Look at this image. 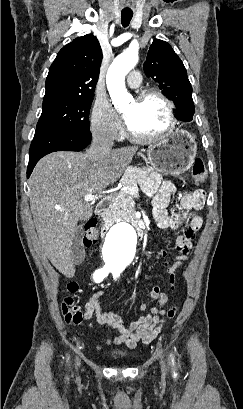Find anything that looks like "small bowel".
Listing matches in <instances>:
<instances>
[{
    "label": "small bowel",
    "instance_id": "1",
    "mask_svg": "<svg viewBox=\"0 0 243 409\" xmlns=\"http://www.w3.org/2000/svg\"><path fill=\"white\" fill-rule=\"evenodd\" d=\"M145 190L152 196L153 217L159 228L184 227L182 234L176 239V256L173 261L166 260L165 251L159 252L160 256L165 259L163 270L168 275L169 287L173 291L176 289V272L188 258L196 232L202 227V218L191 211L199 210L204 206L206 194L201 189L183 193L180 196V206L184 212L169 213L167 207L171 196L176 191L173 183L162 181L159 176L155 175L147 182ZM103 295V291L92 295L84 306V319L89 320L95 314L98 323L107 325L118 333L114 338H102L105 343L125 344L135 348L139 343L148 344L158 336L162 328L161 316L164 314V307L168 301L167 294L162 292L159 286H153L148 294V301L152 303L150 312L143 314L129 325L125 324L121 316L103 307ZM137 309L145 311L147 304L141 303ZM88 326L92 327L91 324Z\"/></svg>",
    "mask_w": 243,
    "mask_h": 409
}]
</instances>
